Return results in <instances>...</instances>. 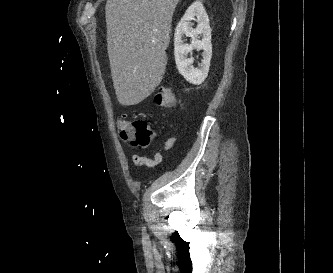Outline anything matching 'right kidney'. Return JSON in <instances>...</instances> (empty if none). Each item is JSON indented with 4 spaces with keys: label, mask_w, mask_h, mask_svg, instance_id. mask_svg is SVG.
Listing matches in <instances>:
<instances>
[{
    "label": "right kidney",
    "mask_w": 333,
    "mask_h": 273,
    "mask_svg": "<svg viewBox=\"0 0 333 273\" xmlns=\"http://www.w3.org/2000/svg\"><path fill=\"white\" fill-rule=\"evenodd\" d=\"M195 17L198 25L193 29L191 21ZM184 35L192 39L190 45L184 43ZM200 36H202L201 40ZM194 49L203 50V61L198 68L193 67L194 59L188 58V53ZM174 55L177 69L186 81L199 85L205 80L212 57V44L209 18L201 1H196L190 5L176 27Z\"/></svg>",
    "instance_id": "obj_1"
}]
</instances>
